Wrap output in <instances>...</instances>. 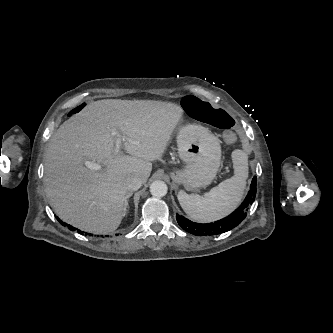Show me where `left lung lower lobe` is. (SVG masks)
<instances>
[{"instance_id":"1","label":"left lung lower lobe","mask_w":333,"mask_h":333,"mask_svg":"<svg viewBox=\"0 0 333 333\" xmlns=\"http://www.w3.org/2000/svg\"><path fill=\"white\" fill-rule=\"evenodd\" d=\"M256 182L254 177L251 182L250 191L241 206L228 217L209 224L195 223L182 215L177 214L176 219L178 224L187 232L197 236H211L227 232L237 225L247 216L249 206L253 203L256 196Z\"/></svg>"}]
</instances>
